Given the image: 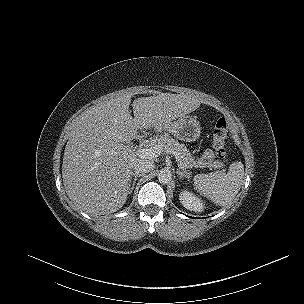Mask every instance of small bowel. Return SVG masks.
<instances>
[{
  "instance_id": "c3829d8e",
  "label": "small bowel",
  "mask_w": 304,
  "mask_h": 304,
  "mask_svg": "<svg viewBox=\"0 0 304 304\" xmlns=\"http://www.w3.org/2000/svg\"><path fill=\"white\" fill-rule=\"evenodd\" d=\"M202 158L204 160H210L212 158V153L209 150H204Z\"/></svg>"
}]
</instances>
